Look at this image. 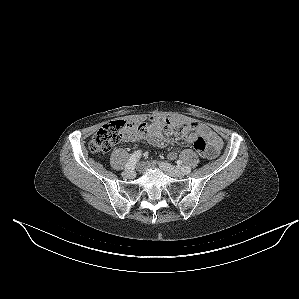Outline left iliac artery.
Listing matches in <instances>:
<instances>
[{
    "label": "left iliac artery",
    "mask_w": 299,
    "mask_h": 299,
    "mask_svg": "<svg viewBox=\"0 0 299 299\" xmlns=\"http://www.w3.org/2000/svg\"><path fill=\"white\" fill-rule=\"evenodd\" d=\"M179 164H180V162H179ZM182 171H183V173L188 174V173L191 172V167H189V166H184V167L182 168Z\"/></svg>",
    "instance_id": "44dca946"
}]
</instances>
